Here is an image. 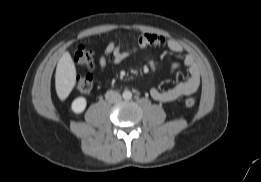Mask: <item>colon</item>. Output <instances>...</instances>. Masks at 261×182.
I'll return each instance as SVG.
<instances>
[{"label": "colon", "mask_w": 261, "mask_h": 182, "mask_svg": "<svg viewBox=\"0 0 261 182\" xmlns=\"http://www.w3.org/2000/svg\"><path fill=\"white\" fill-rule=\"evenodd\" d=\"M75 61L80 66L91 70L93 67L92 63V53L91 51L85 46L80 45L78 50L75 53ZM76 88L78 91L84 94H89L93 91L94 88V80L91 73H86L85 75L78 76L76 79ZM196 103L195 98L188 97L185 99V105L187 107H192Z\"/></svg>", "instance_id": "colon-1"}]
</instances>
